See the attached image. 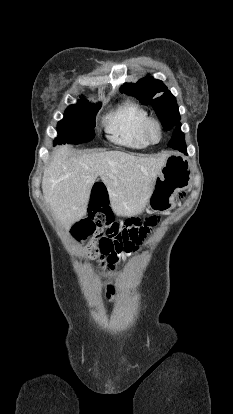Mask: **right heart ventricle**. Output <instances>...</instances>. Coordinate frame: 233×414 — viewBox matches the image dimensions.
<instances>
[{
	"mask_svg": "<svg viewBox=\"0 0 233 414\" xmlns=\"http://www.w3.org/2000/svg\"><path fill=\"white\" fill-rule=\"evenodd\" d=\"M149 114L139 104L127 101L110 113L105 120L109 139L131 148H144L150 144L144 134Z\"/></svg>",
	"mask_w": 233,
	"mask_h": 414,
	"instance_id": "1",
	"label": "right heart ventricle"
}]
</instances>
